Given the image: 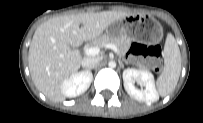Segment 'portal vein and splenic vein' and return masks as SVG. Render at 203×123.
Here are the masks:
<instances>
[{"instance_id": "portal-vein-and-splenic-vein-1", "label": "portal vein and splenic vein", "mask_w": 203, "mask_h": 123, "mask_svg": "<svg viewBox=\"0 0 203 123\" xmlns=\"http://www.w3.org/2000/svg\"><path fill=\"white\" fill-rule=\"evenodd\" d=\"M102 47L109 48L115 52L118 50L117 46L112 43H106ZM99 53H100L99 47H90L85 49V54L88 56H95V55H98Z\"/></svg>"}]
</instances>
